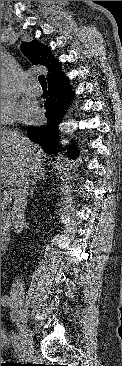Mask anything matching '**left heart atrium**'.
<instances>
[{"label": "left heart atrium", "mask_w": 122, "mask_h": 366, "mask_svg": "<svg viewBox=\"0 0 122 366\" xmlns=\"http://www.w3.org/2000/svg\"><path fill=\"white\" fill-rule=\"evenodd\" d=\"M37 109L27 101H23L18 108V116L21 120L29 122L37 117Z\"/></svg>", "instance_id": "39dd6f15"}]
</instances>
